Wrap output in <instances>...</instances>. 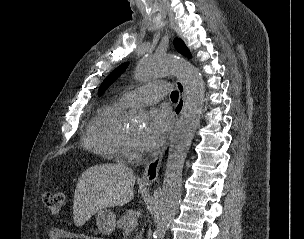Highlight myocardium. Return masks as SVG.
Wrapping results in <instances>:
<instances>
[{"label": "myocardium", "instance_id": "obj_1", "mask_svg": "<svg viewBox=\"0 0 304 239\" xmlns=\"http://www.w3.org/2000/svg\"><path fill=\"white\" fill-rule=\"evenodd\" d=\"M123 152L130 158L138 157V151L136 148L135 140L126 132L123 142Z\"/></svg>", "mask_w": 304, "mask_h": 239}]
</instances>
